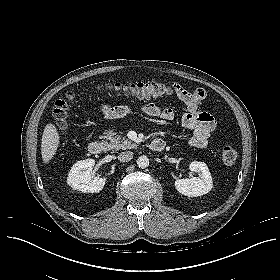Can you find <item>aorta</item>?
Here are the masks:
<instances>
[{
    "label": "aorta",
    "instance_id": "1",
    "mask_svg": "<svg viewBox=\"0 0 280 280\" xmlns=\"http://www.w3.org/2000/svg\"><path fill=\"white\" fill-rule=\"evenodd\" d=\"M137 165L139 168L145 169L149 166V158L147 156H140L137 159Z\"/></svg>",
    "mask_w": 280,
    "mask_h": 280
}]
</instances>
